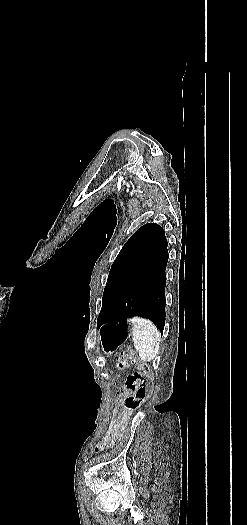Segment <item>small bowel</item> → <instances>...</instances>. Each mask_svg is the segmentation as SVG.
I'll list each match as a JSON object with an SVG mask.
<instances>
[{
  "instance_id": "small-bowel-1",
  "label": "small bowel",
  "mask_w": 247,
  "mask_h": 525,
  "mask_svg": "<svg viewBox=\"0 0 247 525\" xmlns=\"http://www.w3.org/2000/svg\"><path fill=\"white\" fill-rule=\"evenodd\" d=\"M131 389H129L126 385L124 386L123 390L121 391V395H126L129 393ZM117 416L112 421L109 430L103 437L102 441L98 444L97 450L102 451L104 447L106 446V442L109 440H114L119 434L122 429V426L126 420L127 412L121 411L119 408L116 409Z\"/></svg>"
}]
</instances>
